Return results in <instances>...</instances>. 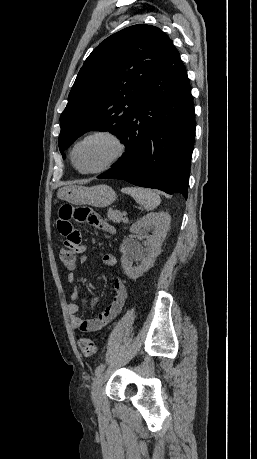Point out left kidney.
I'll use <instances>...</instances> for the list:
<instances>
[{
	"label": "left kidney",
	"mask_w": 257,
	"mask_h": 459,
	"mask_svg": "<svg viewBox=\"0 0 257 459\" xmlns=\"http://www.w3.org/2000/svg\"><path fill=\"white\" fill-rule=\"evenodd\" d=\"M171 217L166 212H153L134 223L130 232L147 239L146 248L128 241L123 247L121 263L125 274L130 279H137L148 271L161 252L162 243L170 228ZM152 233V234H150ZM132 259L141 260L139 266L132 265Z\"/></svg>",
	"instance_id": "1"
}]
</instances>
